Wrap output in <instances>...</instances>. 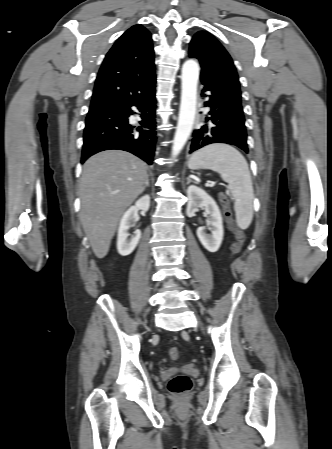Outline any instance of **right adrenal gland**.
Wrapping results in <instances>:
<instances>
[{
    "instance_id": "obj_1",
    "label": "right adrenal gland",
    "mask_w": 332,
    "mask_h": 449,
    "mask_svg": "<svg viewBox=\"0 0 332 449\" xmlns=\"http://www.w3.org/2000/svg\"><path fill=\"white\" fill-rule=\"evenodd\" d=\"M148 186H149V175H147L146 184H145L143 190H145V188L148 187Z\"/></svg>"
}]
</instances>
